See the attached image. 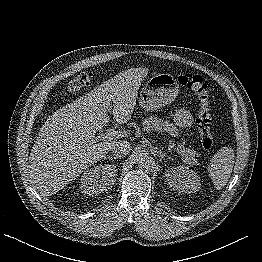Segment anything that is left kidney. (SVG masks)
I'll use <instances>...</instances> for the list:
<instances>
[{
  "label": "left kidney",
  "instance_id": "obj_1",
  "mask_svg": "<svg viewBox=\"0 0 262 262\" xmlns=\"http://www.w3.org/2000/svg\"><path fill=\"white\" fill-rule=\"evenodd\" d=\"M165 181L179 193H195L201 186L197 173L186 166L173 167L167 170Z\"/></svg>",
  "mask_w": 262,
  "mask_h": 262
}]
</instances>
